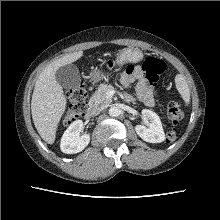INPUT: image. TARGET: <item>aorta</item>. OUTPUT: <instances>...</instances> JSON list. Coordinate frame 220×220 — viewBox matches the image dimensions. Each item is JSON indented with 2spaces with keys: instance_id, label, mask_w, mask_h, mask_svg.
Listing matches in <instances>:
<instances>
[{
  "instance_id": "762f6f07",
  "label": "aorta",
  "mask_w": 220,
  "mask_h": 220,
  "mask_svg": "<svg viewBox=\"0 0 220 220\" xmlns=\"http://www.w3.org/2000/svg\"><path fill=\"white\" fill-rule=\"evenodd\" d=\"M109 115L112 116V117H117L120 115L121 113V110L116 107V106H112L110 109H109Z\"/></svg>"
}]
</instances>
